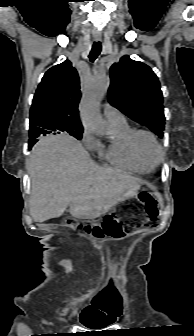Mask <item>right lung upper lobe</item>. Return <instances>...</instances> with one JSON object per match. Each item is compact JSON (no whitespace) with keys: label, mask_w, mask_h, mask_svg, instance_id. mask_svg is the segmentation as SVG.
Listing matches in <instances>:
<instances>
[{"label":"right lung upper lobe","mask_w":194,"mask_h":336,"mask_svg":"<svg viewBox=\"0 0 194 336\" xmlns=\"http://www.w3.org/2000/svg\"><path fill=\"white\" fill-rule=\"evenodd\" d=\"M80 97L79 77L70 61L50 68L33 98L29 144L34 145L40 135L83 131L78 116Z\"/></svg>","instance_id":"right-lung-upper-lobe-1"}]
</instances>
